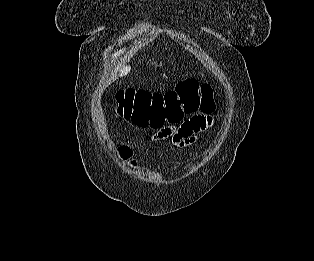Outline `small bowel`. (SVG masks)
<instances>
[{
    "label": "small bowel",
    "mask_w": 314,
    "mask_h": 261,
    "mask_svg": "<svg viewBox=\"0 0 314 261\" xmlns=\"http://www.w3.org/2000/svg\"><path fill=\"white\" fill-rule=\"evenodd\" d=\"M211 110L206 111L210 113ZM213 119L210 115H196L189 120H169L160 129V133H150V140H171L176 151H183L186 147V140L192 134L199 133L211 127Z\"/></svg>",
    "instance_id": "1"
}]
</instances>
